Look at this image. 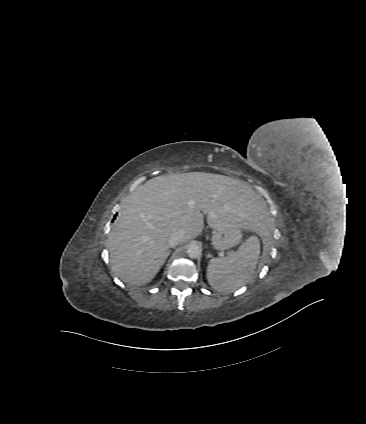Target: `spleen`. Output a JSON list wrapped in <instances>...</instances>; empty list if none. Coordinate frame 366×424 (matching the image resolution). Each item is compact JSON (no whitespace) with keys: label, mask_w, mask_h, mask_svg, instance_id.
<instances>
[{"label":"spleen","mask_w":366,"mask_h":424,"mask_svg":"<svg viewBox=\"0 0 366 424\" xmlns=\"http://www.w3.org/2000/svg\"><path fill=\"white\" fill-rule=\"evenodd\" d=\"M259 255V239L251 236L236 252L211 259L207 268L209 284L220 292H234L253 277Z\"/></svg>","instance_id":"spleen-1"}]
</instances>
